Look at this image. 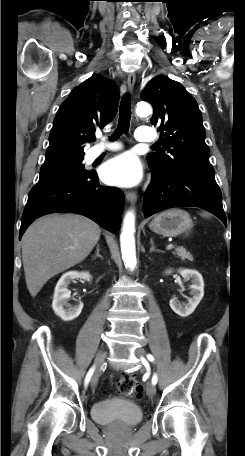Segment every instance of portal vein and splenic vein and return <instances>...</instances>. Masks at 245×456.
I'll return each instance as SVG.
<instances>
[{"label": "portal vein and splenic vein", "mask_w": 245, "mask_h": 456, "mask_svg": "<svg viewBox=\"0 0 245 456\" xmlns=\"http://www.w3.org/2000/svg\"><path fill=\"white\" fill-rule=\"evenodd\" d=\"M175 247H176V245L168 244L167 247H166V249H167V250H170V249H173V248H175Z\"/></svg>", "instance_id": "obj_1"}]
</instances>
